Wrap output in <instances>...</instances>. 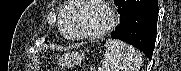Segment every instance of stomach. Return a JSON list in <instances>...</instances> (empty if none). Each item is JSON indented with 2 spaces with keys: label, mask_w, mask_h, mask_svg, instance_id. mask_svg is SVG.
I'll return each instance as SVG.
<instances>
[{
  "label": "stomach",
  "mask_w": 181,
  "mask_h": 71,
  "mask_svg": "<svg viewBox=\"0 0 181 71\" xmlns=\"http://www.w3.org/2000/svg\"><path fill=\"white\" fill-rule=\"evenodd\" d=\"M82 60V56L77 52L67 53L62 58V65L64 67H72Z\"/></svg>",
  "instance_id": "0dacf381"
}]
</instances>
